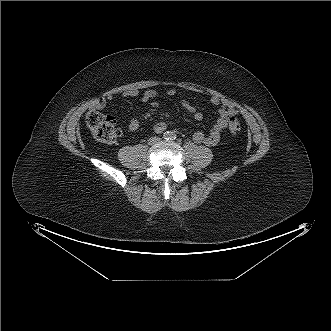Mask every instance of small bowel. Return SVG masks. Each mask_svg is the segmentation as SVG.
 Returning <instances> with one entry per match:
<instances>
[{
  "instance_id": "small-bowel-1",
  "label": "small bowel",
  "mask_w": 331,
  "mask_h": 331,
  "mask_svg": "<svg viewBox=\"0 0 331 331\" xmlns=\"http://www.w3.org/2000/svg\"><path fill=\"white\" fill-rule=\"evenodd\" d=\"M125 98H139L142 102L147 103L151 108L156 109L159 106V103L156 99L157 92L153 89H147L141 91L137 88L124 91L121 94ZM167 96H180L182 92L177 89H171L166 92ZM114 96L112 94L107 96V100H112ZM209 101L216 106H219L218 116L216 121L211 129V131L205 135L203 132H195L193 134V141L197 144H204L207 146H216L220 141L221 132L227 127L228 120L235 116L238 113V109L232 101L229 99L212 95L209 98ZM182 105L188 111L189 116L195 121H201L203 115L196 107L191 105L186 99H182ZM106 106V99L98 98L92 104V109L101 110ZM140 126V121L138 118H132L127 127L129 131H136ZM168 124L163 121L155 123L154 130L157 133L163 132L167 128Z\"/></svg>"
}]
</instances>
